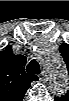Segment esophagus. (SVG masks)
Segmentation results:
<instances>
[{
  "label": "esophagus",
  "instance_id": "1",
  "mask_svg": "<svg viewBox=\"0 0 69 101\" xmlns=\"http://www.w3.org/2000/svg\"><path fill=\"white\" fill-rule=\"evenodd\" d=\"M40 79H41L42 81H46V80H47V75H46V72H45V71H43V72L41 73Z\"/></svg>",
  "mask_w": 69,
  "mask_h": 101
}]
</instances>
